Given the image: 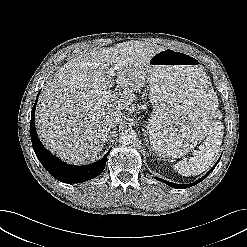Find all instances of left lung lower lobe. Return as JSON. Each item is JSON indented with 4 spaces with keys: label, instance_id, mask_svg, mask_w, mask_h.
Returning a JSON list of instances; mask_svg holds the SVG:
<instances>
[{
    "label": "left lung lower lobe",
    "instance_id": "0a47b994",
    "mask_svg": "<svg viewBox=\"0 0 247 247\" xmlns=\"http://www.w3.org/2000/svg\"><path fill=\"white\" fill-rule=\"evenodd\" d=\"M219 160H220V158H219ZM219 160L217 161V163L219 162ZM217 163L209 170V172L207 174H205L202 178L198 179L197 181H195V182H193L191 184L181 185V184L171 183V182L162 180L160 178H158V180L163 181L164 183H166L167 185H169V186H171L173 188H179V189L188 188V187L194 186V185L198 184L199 182H201L202 180H204L214 170V168L216 167Z\"/></svg>",
    "mask_w": 247,
    "mask_h": 247
}]
</instances>
